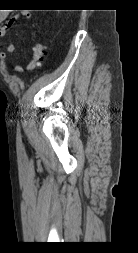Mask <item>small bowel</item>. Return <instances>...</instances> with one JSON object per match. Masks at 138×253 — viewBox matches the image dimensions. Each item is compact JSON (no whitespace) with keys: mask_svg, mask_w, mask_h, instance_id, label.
Returning a JSON list of instances; mask_svg holds the SVG:
<instances>
[{"mask_svg":"<svg viewBox=\"0 0 138 253\" xmlns=\"http://www.w3.org/2000/svg\"><path fill=\"white\" fill-rule=\"evenodd\" d=\"M4 16H0V22L2 21ZM20 18H30V14L27 12H21L14 17L8 19V21L3 25L0 26V38L5 37L9 30L15 25V23L20 19ZM15 50V46L12 42H8L6 45V50L5 52L0 53V58L2 60H5L7 57V53H12ZM23 70L22 65H17L14 69V72H21Z\"/></svg>","mask_w":138,"mask_h":253,"instance_id":"c3829d8e","label":"small bowel"}]
</instances>
